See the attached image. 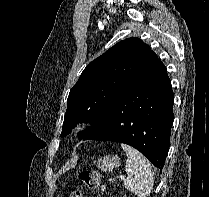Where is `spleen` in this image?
Wrapping results in <instances>:
<instances>
[{
    "instance_id": "obj_1",
    "label": "spleen",
    "mask_w": 209,
    "mask_h": 197,
    "mask_svg": "<svg viewBox=\"0 0 209 197\" xmlns=\"http://www.w3.org/2000/svg\"><path fill=\"white\" fill-rule=\"evenodd\" d=\"M121 147L127 156L125 171L128 176L124 180L125 188L137 197H148L154 184L151 164L135 148L127 144H121Z\"/></svg>"
}]
</instances>
